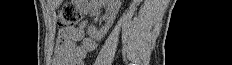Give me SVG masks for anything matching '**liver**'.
Returning <instances> with one entry per match:
<instances>
[{"label":"liver","instance_id":"obj_1","mask_svg":"<svg viewBox=\"0 0 232 65\" xmlns=\"http://www.w3.org/2000/svg\"><path fill=\"white\" fill-rule=\"evenodd\" d=\"M51 3H55V7L58 6L61 2V0H51Z\"/></svg>","mask_w":232,"mask_h":65}]
</instances>
